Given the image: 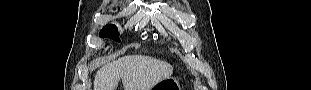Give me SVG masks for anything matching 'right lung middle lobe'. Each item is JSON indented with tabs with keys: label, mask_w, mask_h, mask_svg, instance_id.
I'll return each instance as SVG.
<instances>
[{
	"label": "right lung middle lobe",
	"mask_w": 311,
	"mask_h": 90,
	"mask_svg": "<svg viewBox=\"0 0 311 90\" xmlns=\"http://www.w3.org/2000/svg\"><path fill=\"white\" fill-rule=\"evenodd\" d=\"M100 37H108L110 39H113L116 42H120L119 34H117V28L115 25H106L103 27V29L100 31Z\"/></svg>",
	"instance_id": "dd1d6c3e"
}]
</instances>
